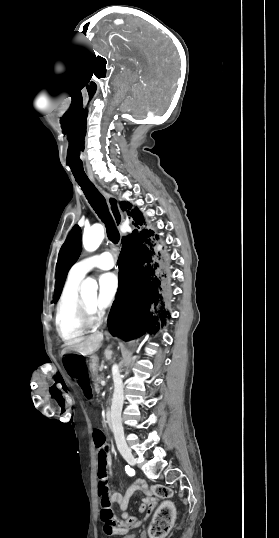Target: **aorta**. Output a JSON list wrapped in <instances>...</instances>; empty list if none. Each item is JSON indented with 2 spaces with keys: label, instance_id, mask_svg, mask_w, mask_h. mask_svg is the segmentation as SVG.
Segmentation results:
<instances>
[{
  "label": "aorta",
  "instance_id": "aorta-1",
  "mask_svg": "<svg viewBox=\"0 0 279 538\" xmlns=\"http://www.w3.org/2000/svg\"><path fill=\"white\" fill-rule=\"evenodd\" d=\"M104 239V228L101 224H95L84 231L83 246L84 249L92 252L95 251ZM98 285L92 278H86L81 285V295L86 298L96 297Z\"/></svg>",
  "mask_w": 279,
  "mask_h": 538
}]
</instances>
